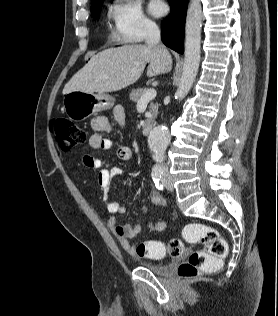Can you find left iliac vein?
<instances>
[{"label":"left iliac vein","mask_w":278,"mask_h":316,"mask_svg":"<svg viewBox=\"0 0 278 316\" xmlns=\"http://www.w3.org/2000/svg\"><path fill=\"white\" fill-rule=\"evenodd\" d=\"M162 182L168 191L173 190V185H172V183H171V181L166 173L163 175Z\"/></svg>","instance_id":"left-iliac-vein-1"}]
</instances>
